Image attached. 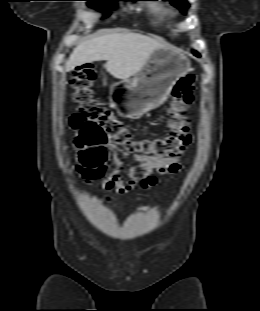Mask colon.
Listing matches in <instances>:
<instances>
[{"instance_id":"1","label":"colon","mask_w":260,"mask_h":311,"mask_svg":"<svg viewBox=\"0 0 260 311\" xmlns=\"http://www.w3.org/2000/svg\"><path fill=\"white\" fill-rule=\"evenodd\" d=\"M97 73L91 66L77 70L71 80V99L77 111L69 118L75 133L79 163L96 172L107 160V143L126 152H138L160 159L179 157L190 143L189 122L186 116L194 90L193 76L180 78L174 85L166 110V125L170 133L155 138L137 139L132 130L117 119L94 95Z\"/></svg>"}]
</instances>
